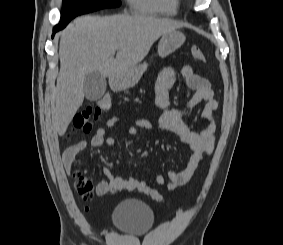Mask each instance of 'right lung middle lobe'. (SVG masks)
Wrapping results in <instances>:
<instances>
[{
    "label": "right lung middle lobe",
    "instance_id": "right-lung-middle-lobe-1",
    "mask_svg": "<svg viewBox=\"0 0 283 245\" xmlns=\"http://www.w3.org/2000/svg\"><path fill=\"white\" fill-rule=\"evenodd\" d=\"M119 5L120 0H63L59 25L64 27L78 15L103 8H114Z\"/></svg>",
    "mask_w": 283,
    "mask_h": 245
}]
</instances>
